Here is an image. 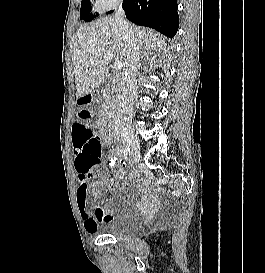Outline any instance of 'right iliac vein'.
Listing matches in <instances>:
<instances>
[{
  "mask_svg": "<svg viewBox=\"0 0 265 273\" xmlns=\"http://www.w3.org/2000/svg\"><path fill=\"white\" fill-rule=\"evenodd\" d=\"M122 142L134 152L137 158H140L139 140L136 135L128 133L124 136Z\"/></svg>",
  "mask_w": 265,
  "mask_h": 273,
  "instance_id": "63e3f726",
  "label": "right iliac vein"
}]
</instances>
